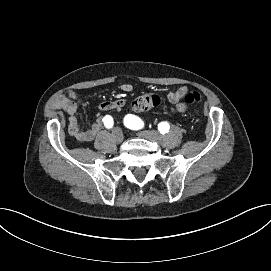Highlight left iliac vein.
<instances>
[{"instance_id": "1", "label": "left iliac vein", "mask_w": 271, "mask_h": 271, "mask_svg": "<svg viewBox=\"0 0 271 271\" xmlns=\"http://www.w3.org/2000/svg\"><path fill=\"white\" fill-rule=\"evenodd\" d=\"M140 136L156 143H163L162 136L154 131H143L140 133Z\"/></svg>"}]
</instances>
